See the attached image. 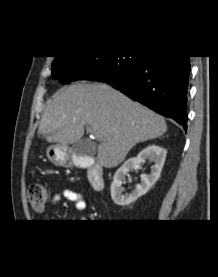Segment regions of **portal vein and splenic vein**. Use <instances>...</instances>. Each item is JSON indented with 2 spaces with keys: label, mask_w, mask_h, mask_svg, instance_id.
Instances as JSON below:
<instances>
[{
  "label": "portal vein and splenic vein",
  "mask_w": 218,
  "mask_h": 277,
  "mask_svg": "<svg viewBox=\"0 0 218 277\" xmlns=\"http://www.w3.org/2000/svg\"><path fill=\"white\" fill-rule=\"evenodd\" d=\"M87 129H88L89 131H91V128H90V127H88ZM93 135H94L96 138H98V136H97L96 134L93 133Z\"/></svg>",
  "instance_id": "portal-vein-and-splenic-vein-1"
}]
</instances>
